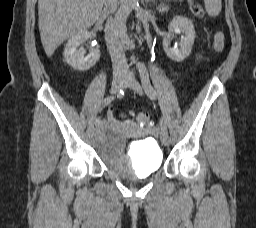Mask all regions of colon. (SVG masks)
I'll return each mask as SVG.
<instances>
[{"label": "colon", "mask_w": 256, "mask_h": 228, "mask_svg": "<svg viewBox=\"0 0 256 228\" xmlns=\"http://www.w3.org/2000/svg\"><path fill=\"white\" fill-rule=\"evenodd\" d=\"M190 4V8L192 13L197 17H203L204 10L202 6L196 2L195 0H188ZM213 47L216 51H223L225 47V36L224 33L221 31H218L213 40ZM136 120L139 124L144 126H150L151 125V119L150 117L145 113H139L136 117Z\"/></svg>", "instance_id": "1"}]
</instances>
